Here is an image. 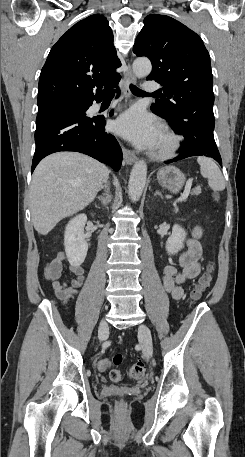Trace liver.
<instances>
[{
	"instance_id": "obj_1",
	"label": "liver",
	"mask_w": 245,
	"mask_h": 457,
	"mask_svg": "<svg viewBox=\"0 0 245 457\" xmlns=\"http://www.w3.org/2000/svg\"><path fill=\"white\" fill-rule=\"evenodd\" d=\"M110 170L81 152H54L33 172L30 210L34 229L48 235L59 220L94 200Z\"/></svg>"
}]
</instances>
